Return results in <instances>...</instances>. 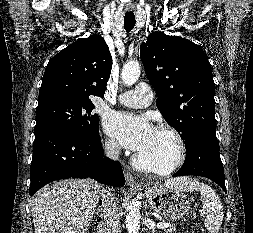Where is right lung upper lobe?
<instances>
[{
	"label": "right lung upper lobe",
	"mask_w": 253,
	"mask_h": 233,
	"mask_svg": "<svg viewBox=\"0 0 253 233\" xmlns=\"http://www.w3.org/2000/svg\"><path fill=\"white\" fill-rule=\"evenodd\" d=\"M112 57L97 34L81 38L55 55L46 67L38 103L54 97L90 99L104 96Z\"/></svg>",
	"instance_id": "obj_1"
}]
</instances>
